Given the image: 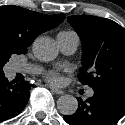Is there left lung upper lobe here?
Listing matches in <instances>:
<instances>
[{"label":"left lung upper lobe","instance_id":"5c2ea615","mask_svg":"<svg viewBox=\"0 0 125 125\" xmlns=\"http://www.w3.org/2000/svg\"><path fill=\"white\" fill-rule=\"evenodd\" d=\"M82 42L79 81L90 87L125 88V29L116 22L90 15L67 18Z\"/></svg>","mask_w":125,"mask_h":125}]
</instances>
